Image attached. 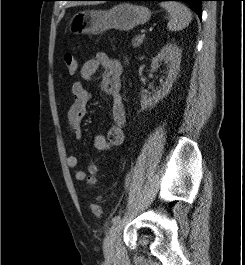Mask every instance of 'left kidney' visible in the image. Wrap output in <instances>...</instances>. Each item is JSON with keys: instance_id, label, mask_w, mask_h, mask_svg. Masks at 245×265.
Masks as SVG:
<instances>
[{"instance_id": "5707ae66", "label": "left kidney", "mask_w": 245, "mask_h": 265, "mask_svg": "<svg viewBox=\"0 0 245 265\" xmlns=\"http://www.w3.org/2000/svg\"><path fill=\"white\" fill-rule=\"evenodd\" d=\"M181 53V49L175 43H168L152 59V69L159 68L162 62L167 65V77L160 90L152 96L141 93L140 103L143 110L154 106L169 93L180 70Z\"/></svg>"}]
</instances>
